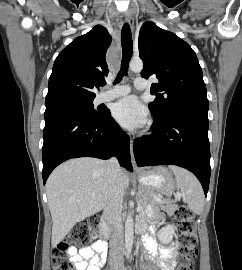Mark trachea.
I'll return each mask as SVG.
<instances>
[{"label":"trachea","instance_id":"trachea-1","mask_svg":"<svg viewBox=\"0 0 242 270\" xmlns=\"http://www.w3.org/2000/svg\"><path fill=\"white\" fill-rule=\"evenodd\" d=\"M122 61L121 69L117 75L115 83H119L124 75H127L129 61L133 53L132 34L130 26L125 23L121 31Z\"/></svg>","mask_w":242,"mask_h":270}]
</instances>
